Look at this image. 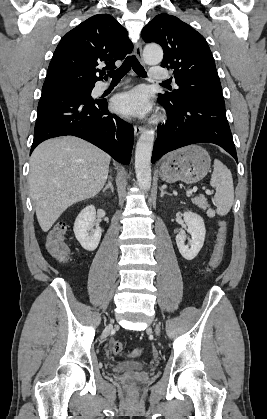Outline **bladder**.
<instances>
[{"label":"bladder","mask_w":267,"mask_h":419,"mask_svg":"<svg viewBox=\"0 0 267 419\" xmlns=\"http://www.w3.org/2000/svg\"><path fill=\"white\" fill-rule=\"evenodd\" d=\"M144 369H146V364L139 361H123L114 366V370L117 372L126 370L140 371Z\"/></svg>","instance_id":"1"}]
</instances>
